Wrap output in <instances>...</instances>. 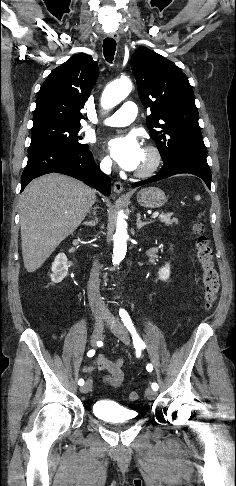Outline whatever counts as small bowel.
Masks as SVG:
<instances>
[{
    "instance_id": "obj_1",
    "label": "small bowel",
    "mask_w": 236,
    "mask_h": 486,
    "mask_svg": "<svg viewBox=\"0 0 236 486\" xmlns=\"http://www.w3.org/2000/svg\"><path fill=\"white\" fill-rule=\"evenodd\" d=\"M123 359H117L116 361H110L106 359L104 356L100 355L97 358L96 364L93 366H85L83 368L84 372H92L95 370H101L106 373L105 381L112 385L118 386L121 384L124 378L123 373Z\"/></svg>"
}]
</instances>
